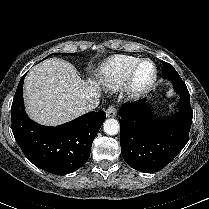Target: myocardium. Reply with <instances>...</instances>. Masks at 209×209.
<instances>
[{"mask_svg":"<svg viewBox=\"0 0 209 209\" xmlns=\"http://www.w3.org/2000/svg\"><path fill=\"white\" fill-rule=\"evenodd\" d=\"M150 63L153 66L154 73L150 81L147 83L138 82L137 75L142 64ZM158 78V68L156 64L150 59H141L132 69L128 82H127V94L131 99H139L146 95L155 85Z\"/></svg>","mask_w":209,"mask_h":209,"instance_id":"f54148a6","label":"myocardium"}]
</instances>
